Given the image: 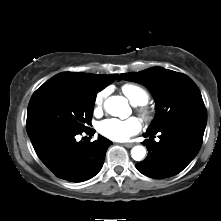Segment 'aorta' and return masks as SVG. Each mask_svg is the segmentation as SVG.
Returning <instances> with one entry per match:
<instances>
[{
  "label": "aorta",
  "instance_id": "1",
  "mask_svg": "<svg viewBox=\"0 0 221 221\" xmlns=\"http://www.w3.org/2000/svg\"><path fill=\"white\" fill-rule=\"evenodd\" d=\"M125 105L126 99L121 96H111L104 103L106 112L112 116H119ZM145 154L146 149L141 145L134 146L131 150V156L135 161H141Z\"/></svg>",
  "mask_w": 221,
  "mask_h": 221
}]
</instances>
